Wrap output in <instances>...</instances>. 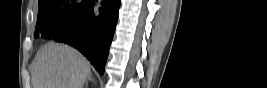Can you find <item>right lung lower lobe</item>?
<instances>
[{
    "label": "right lung lower lobe",
    "mask_w": 267,
    "mask_h": 88,
    "mask_svg": "<svg viewBox=\"0 0 267 88\" xmlns=\"http://www.w3.org/2000/svg\"><path fill=\"white\" fill-rule=\"evenodd\" d=\"M101 5L99 15L95 16L92 2L75 23L52 35L51 39L77 48L99 73L104 74L120 0H102Z\"/></svg>",
    "instance_id": "98d812e1"
}]
</instances>
